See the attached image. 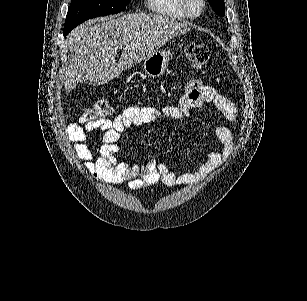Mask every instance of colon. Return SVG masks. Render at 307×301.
Returning a JSON list of instances; mask_svg holds the SVG:
<instances>
[{"label":"colon","instance_id":"5ec220e1","mask_svg":"<svg viewBox=\"0 0 307 301\" xmlns=\"http://www.w3.org/2000/svg\"><path fill=\"white\" fill-rule=\"evenodd\" d=\"M210 54V49L204 44L191 43L185 49L186 59L193 69L202 68L209 60ZM110 115L111 108L109 103L106 100H100L82 113L80 122L83 125H88L97 121L107 120Z\"/></svg>","mask_w":307,"mask_h":301}]
</instances>
